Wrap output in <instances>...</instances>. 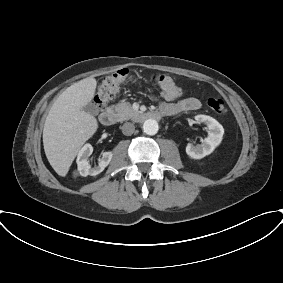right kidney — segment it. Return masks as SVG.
<instances>
[{"label": "right kidney", "mask_w": 283, "mask_h": 283, "mask_svg": "<svg viewBox=\"0 0 283 283\" xmlns=\"http://www.w3.org/2000/svg\"><path fill=\"white\" fill-rule=\"evenodd\" d=\"M93 147L91 144H85L78 153L77 167L80 175L86 177L88 175L96 176L101 173L110 163L112 159V152H103L102 158L99 159L97 166L91 167L88 157L92 154Z\"/></svg>", "instance_id": "obj_1"}]
</instances>
